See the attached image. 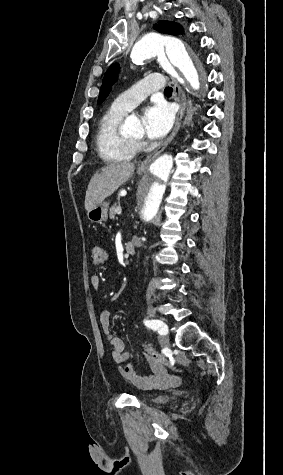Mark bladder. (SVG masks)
Returning a JSON list of instances; mask_svg holds the SVG:
<instances>
[{
	"label": "bladder",
	"mask_w": 283,
	"mask_h": 475,
	"mask_svg": "<svg viewBox=\"0 0 283 475\" xmlns=\"http://www.w3.org/2000/svg\"><path fill=\"white\" fill-rule=\"evenodd\" d=\"M172 399L171 394L156 393L154 395H147L143 400L149 405H163Z\"/></svg>",
	"instance_id": "bladder-1"
}]
</instances>
